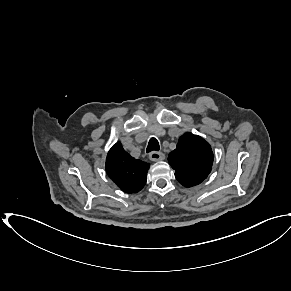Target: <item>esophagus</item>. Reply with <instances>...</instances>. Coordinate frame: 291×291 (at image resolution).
I'll return each instance as SVG.
<instances>
[{
  "label": "esophagus",
  "instance_id": "esophagus-1",
  "mask_svg": "<svg viewBox=\"0 0 291 291\" xmlns=\"http://www.w3.org/2000/svg\"><path fill=\"white\" fill-rule=\"evenodd\" d=\"M149 159L153 162L164 160L165 155L162 152L153 151L149 154Z\"/></svg>",
  "mask_w": 291,
  "mask_h": 291
}]
</instances>
